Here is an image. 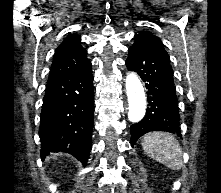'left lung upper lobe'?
Returning <instances> with one entry per match:
<instances>
[{"instance_id":"left-lung-upper-lobe-1","label":"left lung upper lobe","mask_w":221,"mask_h":193,"mask_svg":"<svg viewBox=\"0 0 221 193\" xmlns=\"http://www.w3.org/2000/svg\"><path fill=\"white\" fill-rule=\"evenodd\" d=\"M134 39L135 42L142 43L163 55L169 56L165 51L160 38L149 31H139L137 34H135Z\"/></svg>"}]
</instances>
